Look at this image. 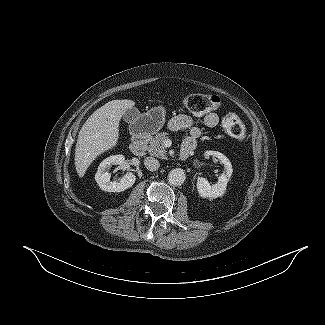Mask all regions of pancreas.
I'll list each match as a JSON object with an SVG mask.
<instances>
[{
	"label": "pancreas",
	"mask_w": 325,
	"mask_h": 325,
	"mask_svg": "<svg viewBox=\"0 0 325 325\" xmlns=\"http://www.w3.org/2000/svg\"><path fill=\"white\" fill-rule=\"evenodd\" d=\"M166 138H168V134L166 132L158 133L151 138L148 145V152L151 156L162 159L166 157V148L163 144Z\"/></svg>",
	"instance_id": "pancreas-1"
}]
</instances>
